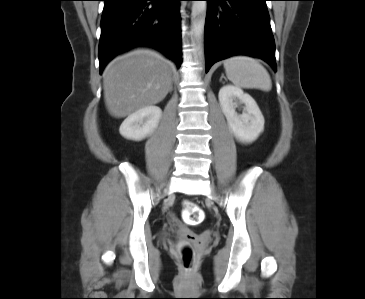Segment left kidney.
<instances>
[{"mask_svg": "<svg viewBox=\"0 0 365 299\" xmlns=\"http://www.w3.org/2000/svg\"><path fill=\"white\" fill-rule=\"evenodd\" d=\"M218 98L233 135L244 143L255 141L264 130V117L255 100L232 85L223 86ZM242 104L243 113L238 114L236 108Z\"/></svg>", "mask_w": 365, "mask_h": 299, "instance_id": "5707ae66", "label": "left kidney"}]
</instances>
